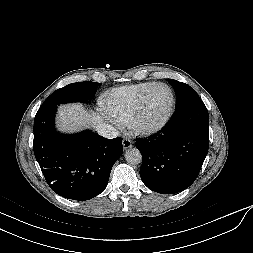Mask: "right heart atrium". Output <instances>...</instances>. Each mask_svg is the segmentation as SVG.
Segmentation results:
<instances>
[{"mask_svg":"<svg viewBox=\"0 0 253 253\" xmlns=\"http://www.w3.org/2000/svg\"><path fill=\"white\" fill-rule=\"evenodd\" d=\"M108 119H109L110 121H113L110 117H108Z\"/></svg>","mask_w":253,"mask_h":253,"instance_id":"d8ad5b80","label":"right heart atrium"}]
</instances>
